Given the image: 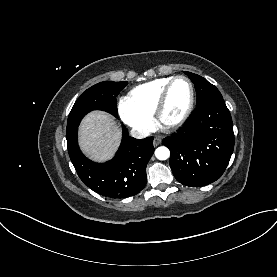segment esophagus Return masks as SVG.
<instances>
[{"label": "esophagus", "instance_id": "34e87169", "mask_svg": "<svg viewBox=\"0 0 277 277\" xmlns=\"http://www.w3.org/2000/svg\"><path fill=\"white\" fill-rule=\"evenodd\" d=\"M160 144H161V138L155 137L154 140H153L154 147H157Z\"/></svg>", "mask_w": 277, "mask_h": 277}]
</instances>
